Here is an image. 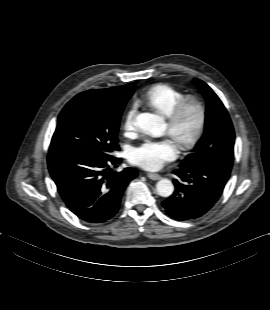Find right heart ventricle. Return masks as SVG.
<instances>
[{"label": "right heart ventricle", "instance_id": "e07e8e85", "mask_svg": "<svg viewBox=\"0 0 270 310\" xmlns=\"http://www.w3.org/2000/svg\"><path fill=\"white\" fill-rule=\"evenodd\" d=\"M144 99L161 114L168 116L184 99V95L168 84H158L145 93Z\"/></svg>", "mask_w": 270, "mask_h": 310}]
</instances>
